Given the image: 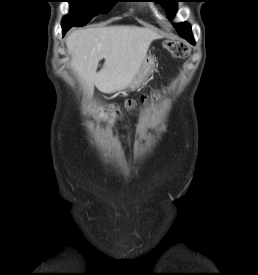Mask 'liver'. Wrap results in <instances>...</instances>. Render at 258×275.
Segmentation results:
<instances>
[{
	"label": "liver",
	"mask_w": 258,
	"mask_h": 275,
	"mask_svg": "<svg viewBox=\"0 0 258 275\" xmlns=\"http://www.w3.org/2000/svg\"><path fill=\"white\" fill-rule=\"evenodd\" d=\"M160 37L150 28L131 25L94 27L70 33L66 47L71 68L92 96L94 86L109 93L126 88L139 73L151 42Z\"/></svg>",
	"instance_id": "liver-1"
}]
</instances>
